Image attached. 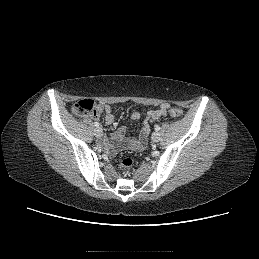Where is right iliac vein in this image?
<instances>
[{
	"instance_id": "right-iliac-vein-1",
	"label": "right iliac vein",
	"mask_w": 259,
	"mask_h": 259,
	"mask_svg": "<svg viewBox=\"0 0 259 259\" xmlns=\"http://www.w3.org/2000/svg\"><path fill=\"white\" fill-rule=\"evenodd\" d=\"M94 134L98 138L101 137L102 136V129L100 127L95 128Z\"/></svg>"
}]
</instances>
